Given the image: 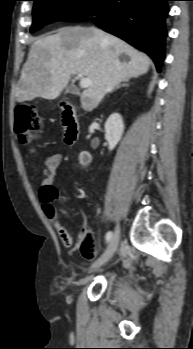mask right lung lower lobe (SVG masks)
<instances>
[{"label":"right lung lower lobe","instance_id":"1","mask_svg":"<svg viewBox=\"0 0 193 349\" xmlns=\"http://www.w3.org/2000/svg\"><path fill=\"white\" fill-rule=\"evenodd\" d=\"M170 0H100L92 21L147 53L159 71L164 60L165 17Z\"/></svg>","mask_w":193,"mask_h":349}]
</instances>
